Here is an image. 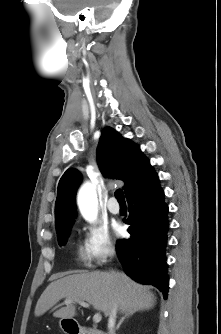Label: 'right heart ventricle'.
I'll list each match as a JSON object with an SVG mask.
<instances>
[{
    "instance_id": "e07e8e85",
    "label": "right heart ventricle",
    "mask_w": 221,
    "mask_h": 334,
    "mask_svg": "<svg viewBox=\"0 0 221 334\" xmlns=\"http://www.w3.org/2000/svg\"><path fill=\"white\" fill-rule=\"evenodd\" d=\"M77 254L82 261H86L87 256H86V253H85V251L82 247H78Z\"/></svg>"
}]
</instances>
